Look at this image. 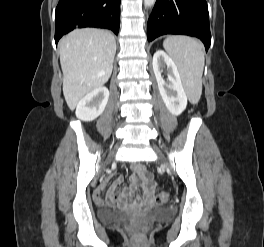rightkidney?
Returning a JSON list of instances; mask_svg holds the SVG:
<instances>
[{"instance_id":"1","label":"right kidney","mask_w":264,"mask_h":247,"mask_svg":"<svg viewBox=\"0 0 264 247\" xmlns=\"http://www.w3.org/2000/svg\"><path fill=\"white\" fill-rule=\"evenodd\" d=\"M109 99L106 87L94 89L83 97L76 107V117L82 121H93L100 116Z\"/></svg>"}]
</instances>
